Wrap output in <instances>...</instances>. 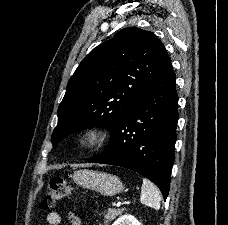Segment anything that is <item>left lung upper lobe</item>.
Listing matches in <instances>:
<instances>
[{"mask_svg":"<svg viewBox=\"0 0 228 225\" xmlns=\"http://www.w3.org/2000/svg\"><path fill=\"white\" fill-rule=\"evenodd\" d=\"M169 61L162 42L136 27L120 30L94 48L68 82L57 112L53 146L84 128L99 126L111 132Z\"/></svg>","mask_w":228,"mask_h":225,"instance_id":"1","label":"left lung upper lobe"}]
</instances>
